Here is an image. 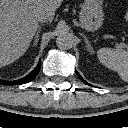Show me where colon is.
Here are the masks:
<instances>
[{
    "mask_svg": "<svg viewBox=\"0 0 128 128\" xmlns=\"http://www.w3.org/2000/svg\"><path fill=\"white\" fill-rule=\"evenodd\" d=\"M125 19H126V21H128V10L125 13Z\"/></svg>",
    "mask_w": 128,
    "mask_h": 128,
    "instance_id": "1",
    "label": "colon"
}]
</instances>
